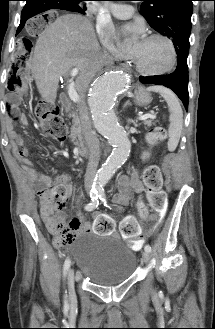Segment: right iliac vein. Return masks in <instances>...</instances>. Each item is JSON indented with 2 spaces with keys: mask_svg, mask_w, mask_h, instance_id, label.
<instances>
[{
  "mask_svg": "<svg viewBox=\"0 0 215 329\" xmlns=\"http://www.w3.org/2000/svg\"><path fill=\"white\" fill-rule=\"evenodd\" d=\"M67 283H68V291H69V298L71 302L75 300V277H74V270L69 269L68 276H67Z\"/></svg>",
  "mask_w": 215,
  "mask_h": 329,
  "instance_id": "obj_1",
  "label": "right iliac vein"
}]
</instances>
